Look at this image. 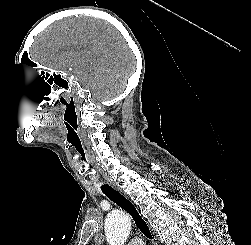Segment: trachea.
<instances>
[{
	"label": "trachea",
	"mask_w": 251,
	"mask_h": 245,
	"mask_svg": "<svg viewBox=\"0 0 251 245\" xmlns=\"http://www.w3.org/2000/svg\"><path fill=\"white\" fill-rule=\"evenodd\" d=\"M102 192L114 203L119 205L122 209H124L126 212H128L138 229L149 239H152L151 232L149 230V227L145 220L142 218V216L139 214L135 206L123 195H121L118 191L113 189L112 187L108 185H103L101 187Z\"/></svg>",
	"instance_id": "obj_1"
}]
</instances>
